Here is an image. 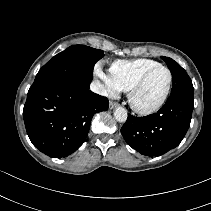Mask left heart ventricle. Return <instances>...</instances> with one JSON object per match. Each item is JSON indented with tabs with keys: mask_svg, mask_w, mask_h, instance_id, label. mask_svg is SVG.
<instances>
[{
	"mask_svg": "<svg viewBox=\"0 0 211 211\" xmlns=\"http://www.w3.org/2000/svg\"><path fill=\"white\" fill-rule=\"evenodd\" d=\"M168 79V73L164 69H158L151 73L142 88L137 92L136 103L141 107H150L156 104L166 90Z\"/></svg>",
	"mask_w": 211,
	"mask_h": 211,
	"instance_id": "left-heart-ventricle-1",
	"label": "left heart ventricle"
}]
</instances>
